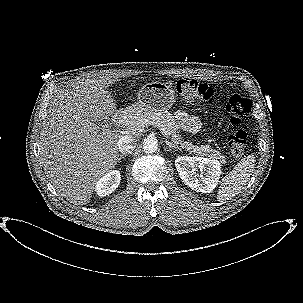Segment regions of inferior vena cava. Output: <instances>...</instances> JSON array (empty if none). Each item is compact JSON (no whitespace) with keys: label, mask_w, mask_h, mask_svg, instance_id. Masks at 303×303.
I'll use <instances>...</instances> for the list:
<instances>
[{"label":"inferior vena cava","mask_w":303,"mask_h":303,"mask_svg":"<svg viewBox=\"0 0 303 303\" xmlns=\"http://www.w3.org/2000/svg\"><path fill=\"white\" fill-rule=\"evenodd\" d=\"M117 146L122 154H130L135 148V139L131 135H124L119 138Z\"/></svg>","instance_id":"obj_1"}]
</instances>
